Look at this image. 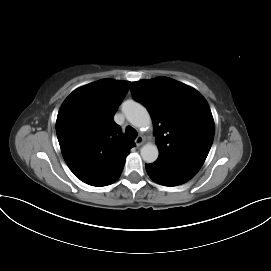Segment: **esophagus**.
<instances>
[{
	"label": "esophagus",
	"instance_id": "34e87169",
	"mask_svg": "<svg viewBox=\"0 0 271 271\" xmlns=\"http://www.w3.org/2000/svg\"><path fill=\"white\" fill-rule=\"evenodd\" d=\"M145 139L143 136L139 135L136 139H135V143L136 145L139 147L144 143Z\"/></svg>",
	"mask_w": 271,
	"mask_h": 271
}]
</instances>
